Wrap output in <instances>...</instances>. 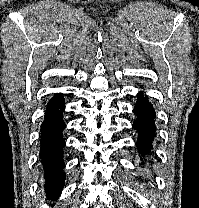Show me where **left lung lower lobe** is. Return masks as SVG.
Segmentation results:
<instances>
[{"mask_svg": "<svg viewBox=\"0 0 199 208\" xmlns=\"http://www.w3.org/2000/svg\"><path fill=\"white\" fill-rule=\"evenodd\" d=\"M133 112L138 115L133 124V128L138 131L137 145L139 152L145 156L152 148L151 143L156 132L154 122L155 111L147 97L144 98L143 94L139 93L137 105H135Z\"/></svg>", "mask_w": 199, "mask_h": 208, "instance_id": "left-lung-lower-lobe-1", "label": "left lung lower lobe"}]
</instances>
